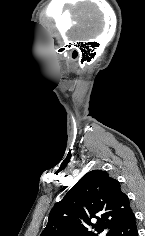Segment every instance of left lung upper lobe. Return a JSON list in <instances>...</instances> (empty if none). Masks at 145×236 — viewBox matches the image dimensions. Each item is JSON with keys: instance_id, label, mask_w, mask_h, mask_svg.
<instances>
[{"instance_id": "5c2ea615", "label": "left lung upper lobe", "mask_w": 145, "mask_h": 236, "mask_svg": "<svg viewBox=\"0 0 145 236\" xmlns=\"http://www.w3.org/2000/svg\"><path fill=\"white\" fill-rule=\"evenodd\" d=\"M132 212L120 183L102 170L86 173L51 210L40 236H98L114 228ZM90 218H96L93 224ZM89 226L95 231L89 230Z\"/></svg>"}]
</instances>
